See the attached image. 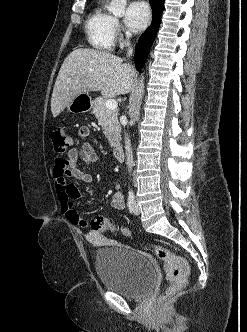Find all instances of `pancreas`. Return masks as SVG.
I'll return each mask as SVG.
<instances>
[{"instance_id":"1","label":"pancreas","mask_w":247,"mask_h":332,"mask_svg":"<svg viewBox=\"0 0 247 332\" xmlns=\"http://www.w3.org/2000/svg\"><path fill=\"white\" fill-rule=\"evenodd\" d=\"M106 98L98 97L93 101V113L102 126L103 133L108 139L111 147L120 145V124L118 122V111L108 109L105 105Z\"/></svg>"}]
</instances>
